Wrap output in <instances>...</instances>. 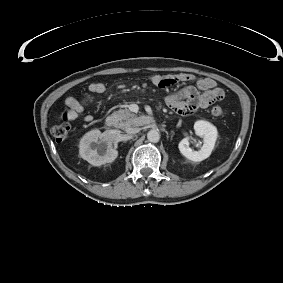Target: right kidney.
Wrapping results in <instances>:
<instances>
[{
	"label": "right kidney",
	"mask_w": 283,
	"mask_h": 283,
	"mask_svg": "<svg viewBox=\"0 0 283 283\" xmlns=\"http://www.w3.org/2000/svg\"><path fill=\"white\" fill-rule=\"evenodd\" d=\"M112 132L101 133L95 129L87 132L80 140V156L93 166H101L113 162L118 151L112 147Z\"/></svg>",
	"instance_id": "obj_1"
}]
</instances>
